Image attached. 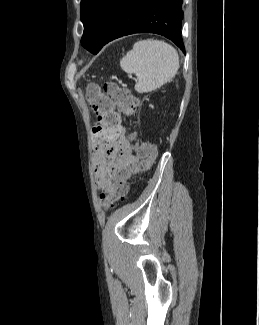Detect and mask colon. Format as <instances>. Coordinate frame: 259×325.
I'll return each instance as SVG.
<instances>
[{"label": "colon", "mask_w": 259, "mask_h": 325, "mask_svg": "<svg viewBox=\"0 0 259 325\" xmlns=\"http://www.w3.org/2000/svg\"><path fill=\"white\" fill-rule=\"evenodd\" d=\"M86 99L92 105L99 116L101 125L91 128L90 138L98 139L102 129H110L116 119L111 114L112 108H117L121 113L132 118L138 109V99L132 92L116 82L107 81L99 84H90L86 89ZM134 142L137 156L140 158L138 171H146L150 168L156 158V150L153 145L136 142V133L130 134ZM131 171L119 172L114 178L112 190L100 196V202L106 209L112 208L116 202L123 200L128 193V179Z\"/></svg>", "instance_id": "colon-1"}]
</instances>
